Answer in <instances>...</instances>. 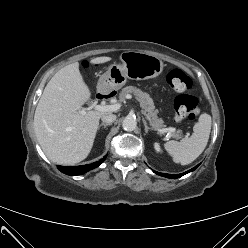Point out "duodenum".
I'll return each mask as SVG.
<instances>
[{
	"label": "duodenum",
	"mask_w": 248,
	"mask_h": 248,
	"mask_svg": "<svg viewBox=\"0 0 248 248\" xmlns=\"http://www.w3.org/2000/svg\"><path fill=\"white\" fill-rule=\"evenodd\" d=\"M96 98H97V100H102V99L105 98V96L102 95V94H97V95H96Z\"/></svg>",
	"instance_id": "obj_1"
}]
</instances>
